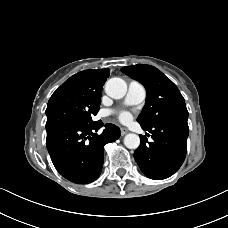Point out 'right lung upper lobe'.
<instances>
[{"label":"right lung upper lobe","mask_w":228,"mask_h":228,"mask_svg":"<svg viewBox=\"0 0 228 228\" xmlns=\"http://www.w3.org/2000/svg\"><path fill=\"white\" fill-rule=\"evenodd\" d=\"M109 69L84 70L70 77L66 82L72 83L84 92L101 94L103 85L109 76Z\"/></svg>","instance_id":"1"}]
</instances>
